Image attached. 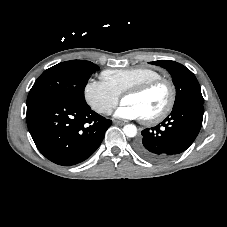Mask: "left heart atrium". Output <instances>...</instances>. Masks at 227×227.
Returning <instances> with one entry per match:
<instances>
[{"label": "left heart atrium", "instance_id": "obj_1", "mask_svg": "<svg viewBox=\"0 0 227 227\" xmlns=\"http://www.w3.org/2000/svg\"><path fill=\"white\" fill-rule=\"evenodd\" d=\"M115 116L126 120L142 118L140 111L134 105L128 103H122L115 111Z\"/></svg>", "mask_w": 227, "mask_h": 227}]
</instances>
